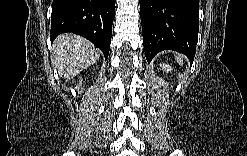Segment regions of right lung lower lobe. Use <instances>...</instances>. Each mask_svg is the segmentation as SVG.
Listing matches in <instances>:
<instances>
[{"instance_id":"right-lung-lower-lobe-1","label":"right lung lower lobe","mask_w":247,"mask_h":156,"mask_svg":"<svg viewBox=\"0 0 247 156\" xmlns=\"http://www.w3.org/2000/svg\"><path fill=\"white\" fill-rule=\"evenodd\" d=\"M115 0H53L50 37L72 32L109 55Z\"/></svg>"}]
</instances>
